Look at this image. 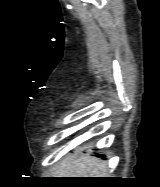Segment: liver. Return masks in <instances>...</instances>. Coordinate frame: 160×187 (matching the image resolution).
<instances>
[{"instance_id":"liver-1","label":"liver","mask_w":160,"mask_h":187,"mask_svg":"<svg viewBox=\"0 0 160 187\" xmlns=\"http://www.w3.org/2000/svg\"><path fill=\"white\" fill-rule=\"evenodd\" d=\"M55 178H106L108 168L106 162L87 154L69 155L55 167Z\"/></svg>"}]
</instances>
